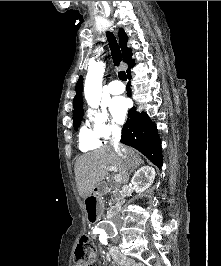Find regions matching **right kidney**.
<instances>
[{"label":"right kidney","mask_w":221,"mask_h":266,"mask_svg":"<svg viewBox=\"0 0 221 266\" xmlns=\"http://www.w3.org/2000/svg\"><path fill=\"white\" fill-rule=\"evenodd\" d=\"M155 169L150 166H143L137 170L132 178V184L136 192L146 191L155 179Z\"/></svg>","instance_id":"1"}]
</instances>
